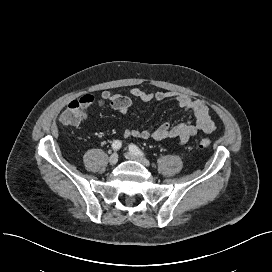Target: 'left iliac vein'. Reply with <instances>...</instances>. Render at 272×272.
<instances>
[{"label": "left iliac vein", "mask_w": 272, "mask_h": 272, "mask_svg": "<svg viewBox=\"0 0 272 272\" xmlns=\"http://www.w3.org/2000/svg\"><path fill=\"white\" fill-rule=\"evenodd\" d=\"M125 157L127 159H129V160L137 161V162L141 163L142 165H144L145 167H149L150 166V162L146 158L138 156V155H135L132 152H127L125 154Z\"/></svg>", "instance_id": "1"}]
</instances>
